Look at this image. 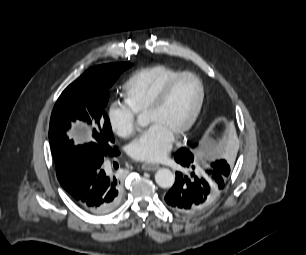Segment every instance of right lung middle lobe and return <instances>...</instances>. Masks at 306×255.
<instances>
[{"label": "right lung middle lobe", "instance_id": "right-lung-middle-lobe-1", "mask_svg": "<svg viewBox=\"0 0 306 255\" xmlns=\"http://www.w3.org/2000/svg\"><path fill=\"white\" fill-rule=\"evenodd\" d=\"M131 66V63H114L90 68L58 98L50 119L49 141L63 188L74 186L81 166L103 162L108 153H113L114 137L105 107L109 88ZM76 119L93 125L92 142L74 145L68 139L66 131ZM114 150L118 152L116 147Z\"/></svg>", "mask_w": 306, "mask_h": 255}]
</instances>
